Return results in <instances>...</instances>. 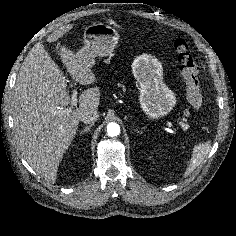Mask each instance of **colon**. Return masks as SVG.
I'll return each instance as SVG.
<instances>
[{
	"label": "colon",
	"mask_w": 236,
	"mask_h": 236,
	"mask_svg": "<svg viewBox=\"0 0 236 236\" xmlns=\"http://www.w3.org/2000/svg\"><path fill=\"white\" fill-rule=\"evenodd\" d=\"M174 49L180 66V73L186 86V96L190 105L196 109L202 107L204 98L200 89L199 69L187 42L183 39L174 41Z\"/></svg>",
	"instance_id": "1"
}]
</instances>
